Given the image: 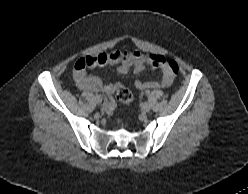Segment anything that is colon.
Listing matches in <instances>:
<instances>
[{
  "mask_svg": "<svg viewBox=\"0 0 248 194\" xmlns=\"http://www.w3.org/2000/svg\"><path fill=\"white\" fill-rule=\"evenodd\" d=\"M92 57V56H91ZM86 58L80 59L75 67L78 71L81 70H85V69H89L91 67H93L94 62L92 60H89ZM150 60L152 61V63L155 66L158 67H166L168 68V70L173 74H177L179 71V66L178 64L174 61V60H170L165 58L164 56H160V55H151L150 56ZM114 92L116 94V98L124 103V104H130V102L132 101L133 95L130 92V90H128L126 87H124L122 84L120 83H116L113 86ZM112 105H110V109H111ZM109 109V110H110Z\"/></svg>",
  "mask_w": 248,
  "mask_h": 194,
  "instance_id": "obj_1",
  "label": "colon"
}]
</instances>
